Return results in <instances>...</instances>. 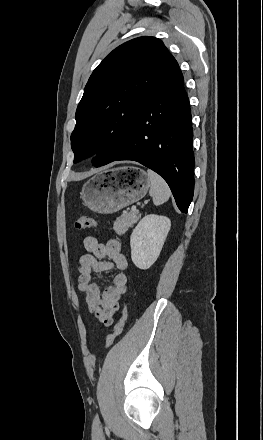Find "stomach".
Listing matches in <instances>:
<instances>
[{"label": "stomach", "mask_w": 263, "mask_h": 440, "mask_svg": "<svg viewBox=\"0 0 263 440\" xmlns=\"http://www.w3.org/2000/svg\"><path fill=\"white\" fill-rule=\"evenodd\" d=\"M149 187L150 180L144 170L113 168L89 179L82 188L81 197L92 211L110 214L142 199Z\"/></svg>", "instance_id": "obj_1"}]
</instances>
